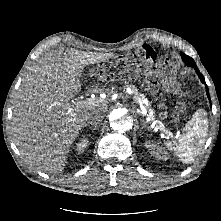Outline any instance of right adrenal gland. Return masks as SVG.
<instances>
[{
  "mask_svg": "<svg viewBox=\"0 0 221 221\" xmlns=\"http://www.w3.org/2000/svg\"><path fill=\"white\" fill-rule=\"evenodd\" d=\"M97 126L90 127V130H95Z\"/></svg>",
  "mask_w": 221,
  "mask_h": 221,
  "instance_id": "2a0ac1e0",
  "label": "right adrenal gland"
}]
</instances>
